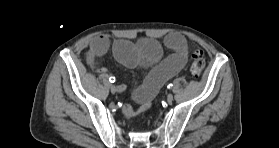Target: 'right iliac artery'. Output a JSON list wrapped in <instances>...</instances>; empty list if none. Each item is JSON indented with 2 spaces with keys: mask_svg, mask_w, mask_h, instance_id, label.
Masks as SVG:
<instances>
[{
  "mask_svg": "<svg viewBox=\"0 0 279 148\" xmlns=\"http://www.w3.org/2000/svg\"><path fill=\"white\" fill-rule=\"evenodd\" d=\"M109 81H110L111 83H114V82L116 81V78H115L114 76H111V77L109 78ZM125 88H126L125 86H122L121 91L124 90Z\"/></svg>",
  "mask_w": 279,
  "mask_h": 148,
  "instance_id": "obj_1",
  "label": "right iliac artery"
}]
</instances>
